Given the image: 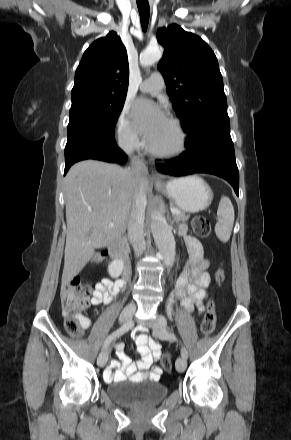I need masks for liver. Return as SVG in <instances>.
Returning a JSON list of instances; mask_svg holds the SVG:
<instances>
[{"label":"liver","mask_w":291,"mask_h":440,"mask_svg":"<svg viewBox=\"0 0 291 440\" xmlns=\"http://www.w3.org/2000/svg\"><path fill=\"white\" fill-rule=\"evenodd\" d=\"M152 185L131 169L96 160L73 165L65 177L66 246L62 286L89 262L97 248L120 239L128 228L136 193ZM113 223V227L109 224Z\"/></svg>","instance_id":"obj_1"}]
</instances>
